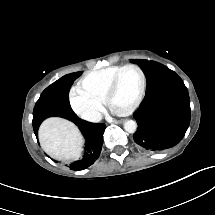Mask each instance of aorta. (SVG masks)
Masks as SVG:
<instances>
[{"label":"aorta","instance_id":"aorta-1","mask_svg":"<svg viewBox=\"0 0 215 215\" xmlns=\"http://www.w3.org/2000/svg\"><path fill=\"white\" fill-rule=\"evenodd\" d=\"M136 128H137V124L133 120H128L124 123V129L128 133H134L136 131Z\"/></svg>","mask_w":215,"mask_h":215}]
</instances>
